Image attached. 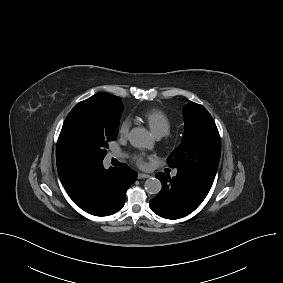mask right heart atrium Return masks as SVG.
Returning a JSON list of instances; mask_svg holds the SVG:
<instances>
[{
  "label": "right heart atrium",
  "mask_w": 283,
  "mask_h": 283,
  "mask_svg": "<svg viewBox=\"0 0 283 283\" xmlns=\"http://www.w3.org/2000/svg\"><path fill=\"white\" fill-rule=\"evenodd\" d=\"M131 121L128 118H123L118 127V132L121 137H126L130 131Z\"/></svg>",
  "instance_id": "obj_1"
}]
</instances>
